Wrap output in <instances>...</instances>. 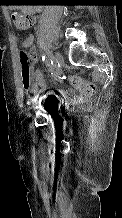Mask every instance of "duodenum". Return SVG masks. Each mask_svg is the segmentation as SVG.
Returning a JSON list of instances; mask_svg holds the SVG:
<instances>
[{"label":"duodenum","instance_id":"1","mask_svg":"<svg viewBox=\"0 0 122 218\" xmlns=\"http://www.w3.org/2000/svg\"><path fill=\"white\" fill-rule=\"evenodd\" d=\"M30 10H31V12H34V13H35V12H39V9H38V8H35V7L31 8Z\"/></svg>","mask_w":122,"mask_h":218}]
</instances>
